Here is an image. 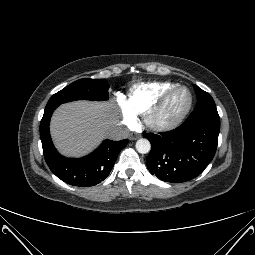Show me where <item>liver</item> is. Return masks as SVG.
Masks as SVG:
<instances>
[{
    "mask_svg": "<svg viewBox=\"0 0 255 255\" xmlns=\"http://www.w3.org/2000/svg\"><path fill=\"white\" fill-rule=\"evenodd\" d=\"M113 101H76L61 105L51 119L50 131L58 151L80 157L92 151L114 128Z\"/></svg>",
    "mask_w": 255,
    "mask_h": 255,
    "instance_id": "6515ba94",
    "label": "liver"
}]
</instances>
